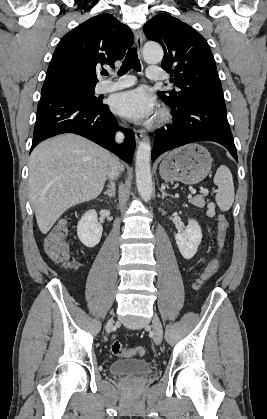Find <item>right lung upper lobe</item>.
<instances>
[{"instance_id":"right-lung-upper-lobe-1","label":"right lung upper lobe","mask_w":267,"mask_h":419,"mask_svg":"<svg viewBox=\"0 0 267 419\" xmlns=\"http://www.w3.org/2000/svg\"><path fill=\"white\" fill-rule=\"evenodd\" d=\"M133 44L130 28L111 14L90 18L68 32L59 42L49 64L42 91L67 85L93 87L96 70L124 57Z\"/></svg>"}]
</instances>
